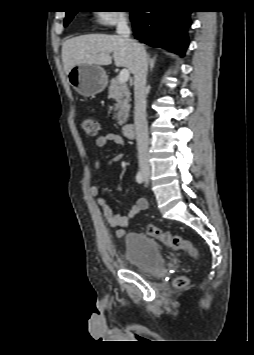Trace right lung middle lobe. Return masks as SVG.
<instances>
[{
    "label": "right lung middle lobe",
    "mask_w": 254,
    "mask_h": 355,
    "mask_svg": "<svg viewBox=\"0 0 254 355\" xmlns=\"http://www.w3.org/2000/svg\"><path fill=\"white\" fill-rule=\"evenodd\" d=\"M77 13V11H68L66 13V18L64 20V25L66 26L74 17V15Z\"/></svg>",
    "instance_id": "right-lung-middle-lobe-1"
}]
</instances>
